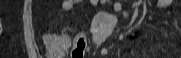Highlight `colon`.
Returning <instances> with one entry per match:
<instances>
[{
    "label": "colon",
    "instance_id": "obj_1",
    "mask_svg": "<svg viewBox=\"0 0 181 58\" xmlns=\"http://www.w3.org/2000/svg\"><path fill=\"white\" fill-rule=\"evenodd\" d=\"M45 44L48 48L59 51L63 48L68 49L72 46V58H82L86 41L84 38L78 37L71 43L69 39L48 35L45 37Z\"/></svg>",
    "mask_w": 181,
    "mask_h": 58
}]
</instances>
